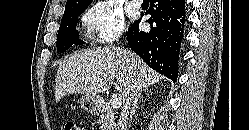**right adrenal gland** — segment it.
Segmentation results:
<instances>
[{"label": "right adrenal gland", "mask_w": 249, "mask_h": 130, "mask_svg": "<svg viewBox=\"0 0 249 130\" xmlns=\"http://www.w3.org/2000/svg\"><path fill=\"white\" fill-rule=\"evenodd\" d=\"M146 91V89H142L139 91L138 95L136 96V98L134 99L133 101V104H132V108H131V114H130V117H132L134 114H135V111L136 109L138 108V100L139 98L141 97L142 95V92Z\"/></svg>", "instance_id": "obj_1"}]
</instances>
